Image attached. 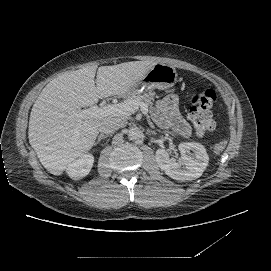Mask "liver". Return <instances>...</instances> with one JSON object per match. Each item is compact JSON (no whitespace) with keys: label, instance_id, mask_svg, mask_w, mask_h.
Here are the masks:
<instances>
[{"label":"liver","instance_id":"obj_1","mask_svg":"<svg viewBox=\"0 0 271 271\" xmlns=\"http://www.w3.org/2000/svg\"><path fill=\"white\" fill-rule=\"evenodd\" d=\"M155 64L131 61L98 68L88 66L50 81L34 102L28 132L30 144L44 168L61 176L66 167L93 149L100 123L123 120L110 114L81 119L74 117L73 111L95 105L99 99L126 96Z\"/></svg>","mask_w":271,"mask_h":271}]
</instances>
